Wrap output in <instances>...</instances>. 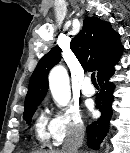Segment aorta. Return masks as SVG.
I'll return each mask as SVG.
<instances>
[{
  "mask_svg": "<svg viewBox=\"0 0 130 153\" xmlns=\"http://www.w3.org/2000/svg\"><path fill=\"white\" fill-rule=\"evenodd\" d=\"M49 87L55 102L59 106L68 105L71 99V90L69 76L63 66L57 65L50 71Z\"/></svg>",
  "mask_w": 130,
  "mask_h": 153,
  "instance_id": "762f6f07",
  "label": "aorta"
}]
</instances>
